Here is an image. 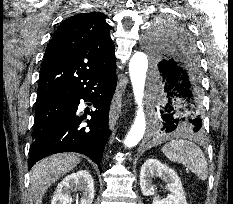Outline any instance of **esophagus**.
<instances>
[{"instance_id": "1", "label": "esophagus", "mask_w": 233, "mask_h": 204, "mask_svg": "<svg viewBox=\"0 0 233 204\" xmlns=\"http://www.w3.org/2000/svg\"><path fill=\"white\" fill-rule=\"evenodd\" d=\"M121 108H122V95H121V90L118 87L115 91V94L112 100V105L110 108L109 127L111 129L114 128L119 116L121 115Z\"/></svg>"}]
</instances>
